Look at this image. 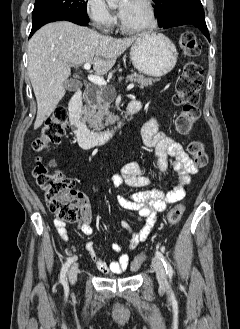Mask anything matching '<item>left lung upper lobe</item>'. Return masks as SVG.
<instances>
[{
  "instance_id": "1",
  "label": "left lung upper lobe",
  "mask_w": 240,
  "mask_h": 329,
  "mask_svg": "<svg viewBox=\"0 0 240 329\" xmlns=\"http://www.w3.org/2000/svg\"><path fill=\"white\" fill-rule=\"evenodd\" d=\"M156 4L154 13L162 27L169 19L179 15L205 17L200 0H153Z\"/></svg>"
}]
</instances>
